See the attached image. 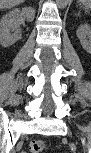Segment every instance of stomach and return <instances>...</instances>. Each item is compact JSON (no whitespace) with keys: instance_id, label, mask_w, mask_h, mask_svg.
Listing matches in <instances>:
<instances>
[{"instance_id":"1","label":"stomach","mask_w":91,"mask_h":153,"mask_svg":"<svg viewBox=\"0 0 91 153\" xmlns=\"http://www.w3.org/2000/svg\"><path fill=\"white\" fill-rule=\"evenodd\" d=\"M84 4H90V1H84Z\"/></svg>"}]
</instances>
